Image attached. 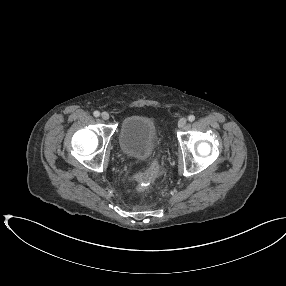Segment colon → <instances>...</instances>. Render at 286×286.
<instances>
[{"label": "colon", "mask_w": 286, "mask_h": 286, "mask_svg": "<svg viewBox=\"0 0 286 286\" xmlns=\"http://www.w3.org/2000/svg\"><path fill=\"white\" fill-rule=\"evenodd\" d=\"M160 172V164L158 160H154L151 165L144 171L133 175V179L140 186H147L154 182Z\"/></svg>", "instance_id": "obj_1"}]
</instances>
